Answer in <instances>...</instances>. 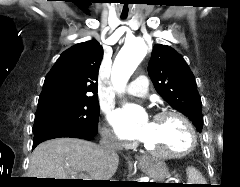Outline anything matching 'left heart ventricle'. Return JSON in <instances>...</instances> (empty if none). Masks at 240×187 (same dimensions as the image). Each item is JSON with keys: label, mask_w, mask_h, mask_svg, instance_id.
<instances>
[{"label": "left heart ventricle", "mask_w": 240, "mask_h": 187, "mask_svg": "<svg viewBox=\"0 0 240 187\" xmlns=\"http://www.w3.org/2000/svg\"><path fill=\"white\" fill-rule=\"evenodd\" d=\"M188 144L187 132L183 124L174 116H167L150 123L146 145L160 152L179 151Z\"/></svg>", "instance_id": "left-heart-ventricle-1"}]
</instances>
